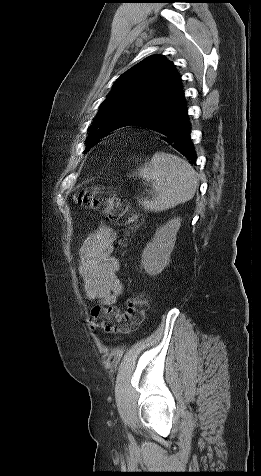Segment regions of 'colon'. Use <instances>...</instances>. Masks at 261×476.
<instances>
[{"mask_svg": "<svg viewBox=\"0 0 261 476\" xmlns=\"http://www.w3.org/2000/svg\"><path fill=\"white\" fill-rule=\"evenodd\" d=\"M79 205L103 213L109 220L129 229L136 228L140 221L110 189L90 187L81 190L76 197ZM148 301L144 295L127 300L126 310L120 312L113 306H94L90 311V325L93 330L106 333L127 334L135 330L145 319Z\"/></svg>", "mask_w": 261, "mask_h": 476, "instance_id": "5ec220e1", "label": "colon"}]
</instances>
